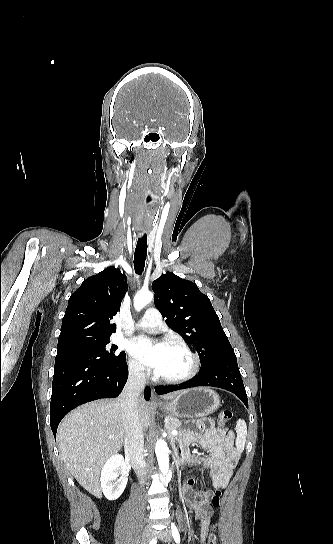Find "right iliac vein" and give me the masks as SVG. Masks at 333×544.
Returning a JSON list of instances; mask_svg holds the SVG:
<instances>
[{"instance_id":"obj_1","label":"right iliac vein","mask_w":333,"mask_h":544,"mask_svg":"<svg viewBox=\"0 0 333 544\" xmlns=\"http://www.w3.org/2000/svg\"><path fill=\"white\" fill-rule=\"evenodd\" d=\"M154 535V531L151 527L147 526L144 528L142 533V544H150Z\"/></svg>"}]
</instances>
